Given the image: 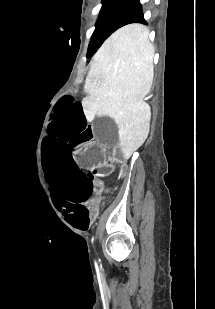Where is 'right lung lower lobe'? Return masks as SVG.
I'll return each mask as SVG.
<instances>
[{
  "label": "right lung lower lobe",
  "mask_w": 215,
  "mask_h": 309,
  "mask_svg": "<svg viewBox=\"0 0 215 309\" xmlns=\"http://www.w3.org/2000/svg\"><path fill=\"white\" fill-rule=\"evenodd\" d=\"M139 1L140 0H134L132 4L128 7V9L119 21L118 28L130 23H146L142 13V6Z\"/></svg>",
  "instance_id": "1"
}]
</instances>
